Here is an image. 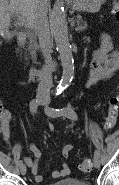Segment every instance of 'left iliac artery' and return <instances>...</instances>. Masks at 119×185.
I'll list each match as a JSON object with an SVG mask.
<instances>
[{
	"label": "left iliac artery",
	"instance_id": "1",
	"mask_svg": "<svg viewBox=\"0 0 119 185\" xmlns=\"http://www.w3.org/2000/svg\"><path fill=\"white\" fill-rule=\"evenodd\" d=\"M45 112L51 117L66 116L69 119L77 120L76 112L70 107H64L61 109L46 107ZM94 155L99 156L100 154L97 150H95Z\"/></svg>",
	"mask_w": 119,
	"mask_h": 185
}]
</instances>
